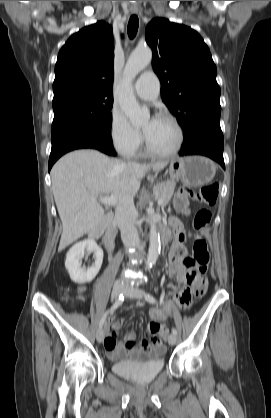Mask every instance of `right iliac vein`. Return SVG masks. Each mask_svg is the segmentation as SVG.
Segmentation results:
<instances>
[{
  "label": "right iliac vein",
  "instance_id": "63e3f726",
  "mask_svg": "<svg viewBox=\"0 0 271 418\" xmlns=\"http://www.w3.org/2000/svg\"><path fill=\"white\" fill-rule=\"evenodd\" d=\"M124 291V288L120 285H115L112 289L111 298L112 300L117 299ZM96 339L99 343L103 342L104 340V330L99 328L96 333Z\"/></svg>",
  "mask_w": 271,
  "mask_h": 418
}]
</instances>
